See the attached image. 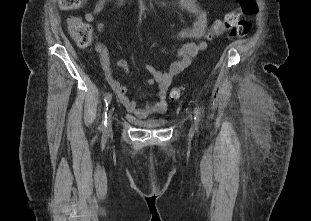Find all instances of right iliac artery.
<instances>
[{"label":"right iliac artery","mask_w":311,"mask_h":221,"mask_svg":"<svg viewBox=\"0 0 311 221\" xmlns=\"http://www.w3.org/2000/svg\"><path fill=\"white\" fill-rule=\"evenodd\" d=\"M111 99H112V95L111 93H108L105 98H104V110L105 112L103 113V118H102V123L99 127V129L103 132L106 131V125H107V113H106V110L108 109V106L111 102Z\"/></svg>","instance_id":"82829eb1"}]
</instances>
